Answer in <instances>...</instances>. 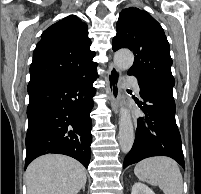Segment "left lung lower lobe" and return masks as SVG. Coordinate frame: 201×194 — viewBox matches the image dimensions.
<instances>
[{
	"label": "left lung lower lobe",
	"instance_id": "0a47b994",
	"mask_svg": "<svg viewBox=\"0 0 201 194\" xmlns=\"http://www.w3.org/2000/svg\"><path fill=\"white\" fill-rule=\"evenodd\" d=\"M139 87L145 116L138 119L135 141L123 167L152 156H168L185 168L172 89L160 84L139 83Z\"/></svg>",
	"mask_w": 201,
	"mask_h": 194
}]
</instances>
